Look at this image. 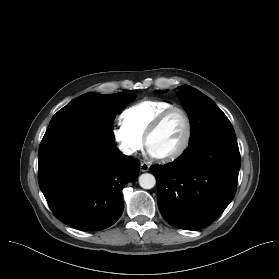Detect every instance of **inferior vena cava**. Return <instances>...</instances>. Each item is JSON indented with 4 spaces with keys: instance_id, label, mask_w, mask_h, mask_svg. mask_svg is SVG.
<instances>
[{
    "instance_id": "1",
    "label": "inferior vena cava",
    "mask_w": 279,
    "mask_h": 279,
    "mask_svg": "<svg viewBox=\"0 0 279 279\" xmlns=\"http://www.w3.org/2000/svg\"><path fill=\"white\" fill-rule=\"evenodd\" d=\"M123 153L126 154V155H130V154L133 153V151L131 149H124Z\"/></svg>"
}]
</instances>
